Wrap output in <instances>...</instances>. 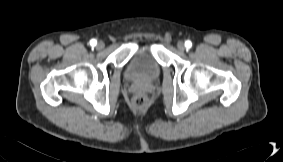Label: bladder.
Instances as JSON below:
<instances>
[{
    "instance_id": "bladder-1",
    "label": "bladder",
    "mask_w": 283,
    "mask_h": 162,
    "mask_svg": "<svg viewBox=\"0 0 283 162\" xmlns=\"http://www.w3.org/2000/svg\"><path fill=\"white\" fill-rule=\"evenodd\" d=\"M161 72L155 53L150 46L140 47L129 59L125 75L135 81L148 82L156 79Z\"/></svg>"
}]
</instances>
